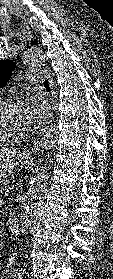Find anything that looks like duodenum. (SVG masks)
Wrapping results in <instances>:
<instances>
[{
  "label": "duodenum",
  "instance_id": "410a0bca",
  "mask_svg": "<svg viewBox=\"0 0 113 279\" xmlns=\"http://www.w3.org/2000/svg\"><path fill=\"white\" fill-rule=\"evenodd\" d=\"M9 231L13 236H16L20 230V221L16 213H11L8 219Z\"/></svg>",
  "mask_w": 113,
  "mask_h": 279
}]
</instances>
